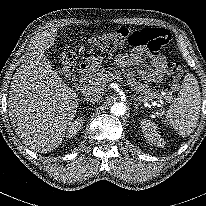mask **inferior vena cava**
I'll use <instances>...</instances> for the list:
<instances>
[{
	"label": "inferior vena cava",
	"instance_id": "obj_1",
	"mask_svg": "<svg viewBox=\"0 0 206 206\" xmlns=\"http://www.w3.org/2000/svg\"><path fill=\"white\" fill-rule=\"evenodd\" d=\"M97 91L98 89H96L95 87L82 89V93L86 97V99H88L90 102H93V103L100 101V96H98Z\"/></svg>",
	"mask_w": 206,
	"mask_h": 206
}]
</instances>
